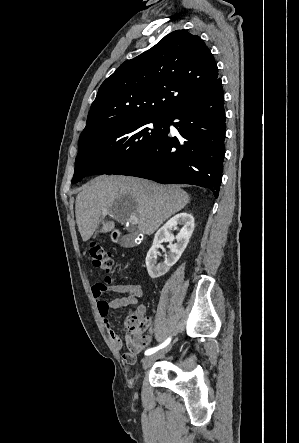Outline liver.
I'll return each mask as SVG.
<instances>
[{
    "label": "liver",
    "instance_id": "1",
    "mask_svg": "<svg viewBox=\"0 0 299 443\" xmlns=\"http://www.w3.org/2000/svg\"><path fill=\"white\" fill-rule=\"evenodd\" d=\"M189 200L187 192L176 186H163L134 177L102 175L85 184L78 193L76 222L85 242L92 237L99 222H102L100 233L114 229L115 223L105 221L106 215L122 223L135 215L139 232L151 235ZM103 209L108 213L104 215Z\"/></svg>",
    "mask_w": 299,
    "mask_h": 443
}]
</instances>
